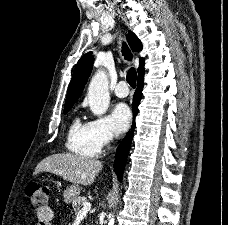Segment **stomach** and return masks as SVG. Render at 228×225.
I'll return each mask as SVG.
<instances>
[{"instance_id":"1","label":"stomach","mask_w":228,"mask_h":225,"mask_svg":"<svg viewBox=\"0 0 228 225\" xmlns=\"http://www.w3.org/2000/svg\"><path fill=\"white\" fill-rule=\"evenodd\" d=\"M80 195V187L79 185H70L67 187L66 191L63 193L64 203H71V201H75L77 197Z\"/></svg>"}]
</instances>
